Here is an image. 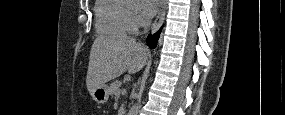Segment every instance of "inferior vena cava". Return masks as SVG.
I'll return each instance as SVG.
<instances>
[{
    "instance_id": "inferior-vena-cava-1",
    "label": "inferior vena cava",
    "mask_w": 285,
    "mask_h": 115,
    "mask_svg": "<svg viewBox=\"0 0 285 115\" xmlns=\"http://www.w3.org/2000/svg\"><path fill=\"white\" fill-rule=\"evenodd\" d=\"M149 24H150V22H144V23H143L144 28L147 29L148 26H149Z\"/></svg>"
}]
</instances>
